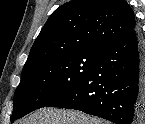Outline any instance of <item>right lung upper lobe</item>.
<instances>
[{"label":"right lung upper lobe","instance_id":"1","mask_svg":"<svg viewBox=\"0 0 145 124\" xmlns=\"http://www.w3.org/2000/svg\"><path fill=\"white\" fill-rule=\"evenodd\" d=\"M136 27L125 0H72L47 20L31 48L22 75L59 57L78 52L100 53Z\"/></svg>","mask_w":145,"mask_h":124}]
</instances>
